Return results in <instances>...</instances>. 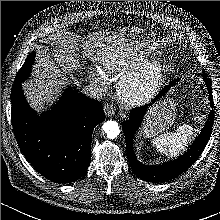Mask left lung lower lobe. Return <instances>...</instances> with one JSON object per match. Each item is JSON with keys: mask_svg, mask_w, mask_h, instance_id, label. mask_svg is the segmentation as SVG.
Returning a JSON list of instances; mask_svg holds the SVG:
<instances>
[{"mask_svg": "<svg viewBox=\"0 0 220 220\" xmlns=\"http://www.w3.org/2000/svg\"><path fill=\"white\" fill-rule=\"evenodd\" d=\"M202 76L206 84V87L208 89L210 105L213 108L214 103L212 96L211 80L208 78L205 72L202 73ZM179 80L180 79L178 78L177 80L171 81L169 85L164 87V89L158 94L157 98L154 101H152V103L162 98V96L165 95V93L170 89V87L175 86L176 83L179 82ZM152 103L147 104L145 106L133 108L130 111V119L123 121L122 129L125 135L129 164L133 172L140 179L144 181L156 183V182L168 181L174 177H177L180 174L184 173L189 167H191V165L201 155L202 151L206 147V144L208 143V140L211 136L212 126L215 117H214V110H211L208 119L206 121V124L204 125V128L202 129L201 133L192 143V145L187 150V152H185L182 156H180L179 158L173 161L167 162L163 165L148 166L137 161L132 144H133L134 134L137 131V129L140 127L144 114L146 113L150 105H152Z\"/></svg>", "mask_w": 220, "mask_h": 220, "instance_id": "left-lung-lower-lobe-1", "label": "left lung lower lobe"}]
</instances>
